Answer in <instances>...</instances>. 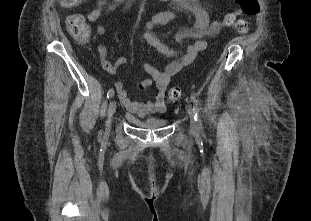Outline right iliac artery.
Masks as SVG:
<instances>
[{
  "instance_id": "82829eb1",
  "label": "right iliac artery",
  "mask_w": 311,
  "mask_h": 221,
  "mask_svg": "<svg viewBox=\"0 0 311 221\" xmlns=\"http://www.w3.org/2000/svg\"><path fill=\"white\" fill-rule=\"evenodd\" d=\"M113 95H114V89L111 88V89L108 91V93H107V98H111V97H113Z\"/></svg>"
}]
</instances>
